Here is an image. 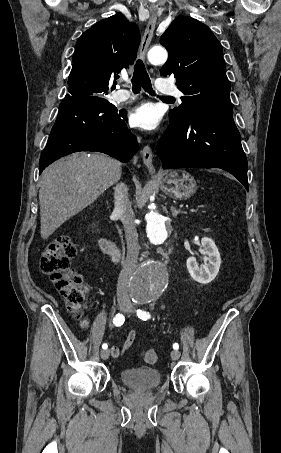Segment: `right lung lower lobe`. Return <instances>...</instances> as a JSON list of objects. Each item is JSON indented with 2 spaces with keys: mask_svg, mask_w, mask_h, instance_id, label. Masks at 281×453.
<instances>
[{
  "mask_svg": "<svg viewBox=\"0 0 281 453\" xmlns=\"http://www.w3.org/2000/svg\"><path fill=\"white\" fill-rule=\"evenodd\" d=\"M126 121L125 112L104 98H64L40 157V173L55 160L77 151L104 152L127 162L138 144Z\"/></svg>",
  "mask_w": 281,
  "mask_h": 453,
  "instance_id": "obj_1",
  "label": "right lung lower lobe"
}]
</instances>
